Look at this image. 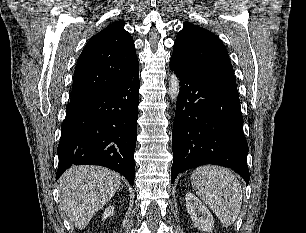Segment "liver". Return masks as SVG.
Returning a JSON list of instances; mask_svg holds the SVG:
<instances>
[{
  "label": "liver",
  "instance_id": "6515ba94",
  "mask_svg": "<svg viewBox=\"0 0 306 233\" xmlns=\"http://www.w3.org/2000/svg\"><path fill=\"white\" fill-rule=\"evenodd\" d=\"M60 208L83 230L120 187V176L100 166H73L60 178Z\"/></svg>",
  "mask_w": 306,
  "mask_h": 233
}]
</instances>
